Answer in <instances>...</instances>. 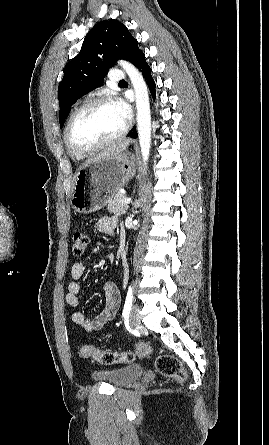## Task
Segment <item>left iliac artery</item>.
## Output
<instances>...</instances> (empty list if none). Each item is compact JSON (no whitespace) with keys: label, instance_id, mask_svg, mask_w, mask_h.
Instances as JSON below:
<instances>
[{"label":"left iliac artery","instance_id":"obj_1","mask_svg":"<svg viewBox=\"0 0 269 445\" xmlns=\"http://www.w3.org/2000/svg\"><path fill=\"white\" fill-rule=\"evenodd\" d=\"M132 302H133V291H132V287L129 286V289H128V292H127V296H126V300H125V304H124V308H123V313H122L123 317L129 316V313H130V310H131V306H132Z\"/></svg>","mask_w":269,"mask_h":445}]
</instances>
